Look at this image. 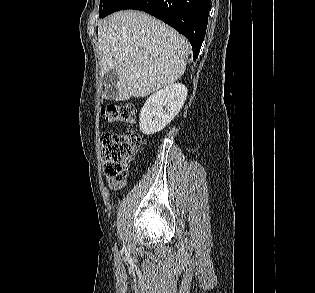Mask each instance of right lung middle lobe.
Returning <instances> with one entry per match:
<instances>
[{
    "mask_svg": "<svg viewBox=\"0 0 315 293\" xmlns=\"http://www.w3.org/2000/svg\"><path fill=\"white\" fill-rule=\"evenodd\" d=\"M111 1L112 0H101L100 1V6H99L100 17L106 12Z\"/></svg>",
    "mask_w": 315,
    "mask_h": 293,
    "instance_id": "1",
    "label": "right lung middle lobe"
}]
</instances>
